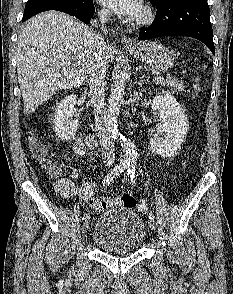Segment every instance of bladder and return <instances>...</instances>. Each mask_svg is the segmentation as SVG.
Listing matches in <instances>:
<instances>
[{
  "label": "bladder",
  "instance_id": "bladder-1",
  "mask_svg": "<svg viewBox=\"0 0 233 294\" xmlns=\"http://www.w3.org/2000/svg\"><path fill=\"white\" fill-rule=\"evenodd\" d=\"M147 231L141 217L127 207H113L100 215L92 239L101 250L111 254L132 253L141 248Z\"/></svg>",
  "mask_w": 233,
  "mask_h": 294
}]
</instances>
